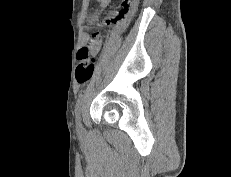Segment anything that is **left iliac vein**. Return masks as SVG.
Segmentation results:
<instances>
[{"label": "left iliac vein", "instance_id": "obj_1", "mask_svg": "<svg viewBox=\"0 0 231 177\" xmlns=\"http://www.w3.org/2000/svg\"><path fill=\"white\" fill-rule=\"evenodd\" d=\"M79 127H80V128H82V125H81V123H79Z\"/></svg>", "mask_w": 231, "mask_h": 177}]
</instances>
